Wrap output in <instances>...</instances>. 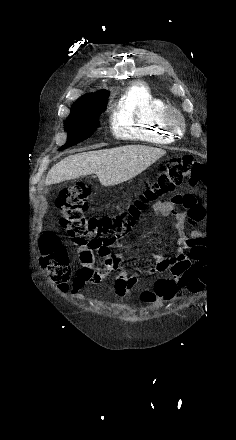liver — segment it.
Instances as JSON below:
<instances>
[{"label":"liver","instance_id":"liver-1","mask_svg":"<svg viewBox=\"0 0 236 440\" xmlns=\"http://www.w3.org/2000/svg\"><path fill=\"white\" fill-rule=\"evenodd\" d=\"M165 153L163 149L142 145L77 153L55 164L45 183H61L94 173L101 185L113 186L134 178Z\"/></svg>","mask_w":236,"mask_h":440}]
</instances>
